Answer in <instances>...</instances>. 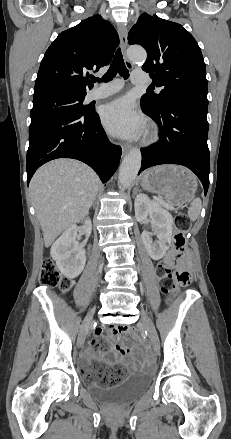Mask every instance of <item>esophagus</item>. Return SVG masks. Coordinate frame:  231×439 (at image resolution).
<instances>
[{
	"label": "esophagus",
	"mask_w": 231,
	"mask_h": 439,
	"mask_svg": "<svg viewBox=\"0 0 231 439\" xmlns=\"http://www.w3.org/2000/svg\"><path fill=\"white\" fill-rule=\"evenodd\" d=\"M117 30H118V34H119V37H120L122 53H123L125 64H126L127 68L131 70V69H133V64L128 60L127 55H126V49H127V29H126V27L123 24L118 23L117 24ZM129 149H130L129 146L123 145L122 146V153H123V155H125L129 151Z\"/></svg>",
	"instance_id": "34e87169"
}]
</instances>
